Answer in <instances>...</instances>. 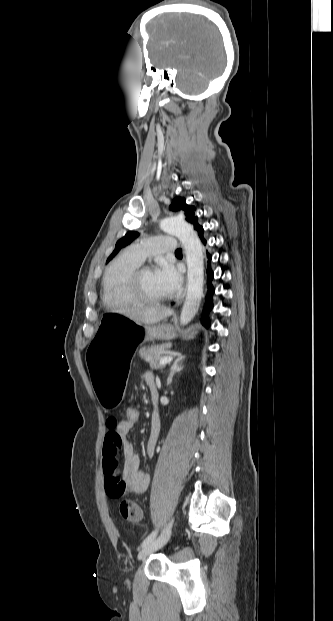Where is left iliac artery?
<instances>
[{"instance_id": "44dca946", "label": "left iliac artery", "mask_w": 333, "mask_h": 621, "mask_svg": "<svg viewBox=\"0 0 333 621\" xmlns=\"http://www.w3.org/2000/svg\"><path fill=\"white\" fill-rule=\"evenodd\" d=\"M157 536V530H154L152 533H150L142 542L141 546L145 547L146 545H148L150 542H152L155 537Z\"/></svg>"}]
</instances>
